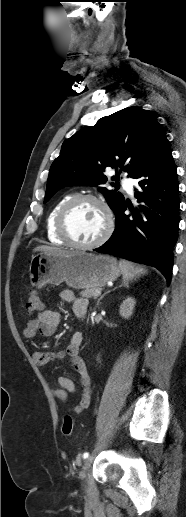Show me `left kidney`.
Here are the masks:
<instances>
[{"mask_svg":"<svg viewBox=\"0 0 186 517\" xmlns=\"http://www.w3.org/2000/svg\"><path fill=\"white\" fill-rule=\"evenodd\" d=\"M135 303H136V301L132 297H128L127 299H125L123 301V303L120 305V310H119L120 315L123 318L128 319L133 313Z\"/></svg>","mask_w":186,"mask_h":517,"instance_id":"1","label":"left kidney"}]
</instances>
